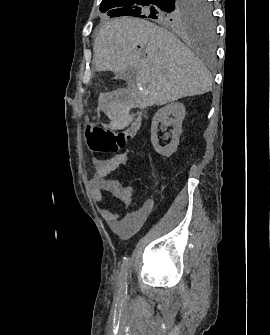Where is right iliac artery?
I'll return each instance as SVG.
<instances>
[{"label":"right iliac artery","mask_w":270,"mask_h":335,"mask_svg":"<svg viewBox=\"0 0 270 335\" xmlns=\"http://www.w3.org/2000/svg\"><path fill=\"white\" fill-rule=\"evenodd\" d=\"M128 258H125L121 267V281H120V293L124 294L127 290V268H128Z\"/></svg>","instance_id":"right-iliac-artery-1"}]
</instances>
